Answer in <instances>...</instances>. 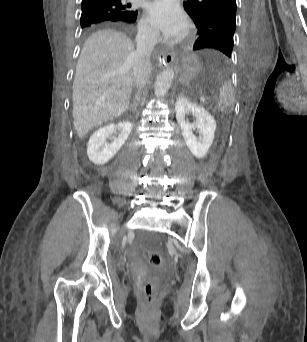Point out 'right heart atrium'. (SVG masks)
<instances>
[{
	"mask_svg": "<svg viewBox=\"0 0 307 342\" xmlns=\"http://www.w3.org/2000/svg\"><path fill=\"white\" fill-rule=\"evenodd\" d=\"M139 31L141 34H151V29L146 23L140 25Z\"/></svg>",
	"mask_w": 307,
	"mask_h": 342,
	"instance_id": "d8ad5b80",
	"label": "right heart atrium"
}]
</instances>
